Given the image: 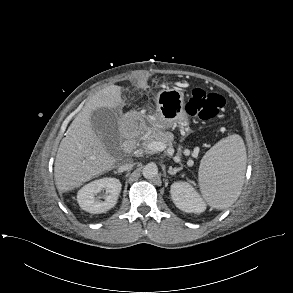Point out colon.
Listing matches in <instances>:
<instances>
[{
  "mask_svg": "<svg viewBox=\"0 0 293 293\" xmlns=\"http://www.w3.org/2000/svg\"><path fill=\"white\" fill-rule=\"evenodd\" d=\"M225 106V99L214 92L202 88L192 89L185 105L186 112L202 120H214Z\"/></svg>",
  "mask_w": 293,
  "mask_h": 293,
  "instance_id": "1",
  "label": "colon"
}]
</instances>
